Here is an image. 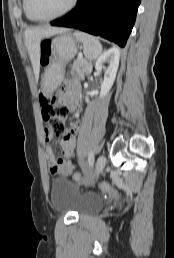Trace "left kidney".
Returning a JSON list of instances; mask_svg holds the SVG:
<instances>
[{"label":"left kidney","mask_w":174,"mask_h":258,"mask_svg":"<svg viewBox=\"0 0 174 258\" xmlns=\"http://www.w3.org/2000/svg\"><path fill=\"white\" fill-rule=\"evenodd\" d=\"M119 59H120V50L117 47H112L104 52L96 61L95 69L97 71L102 70L103 64L105 62L109 63L108 68L105 70L104 81L101 84L100 97H105L113 83L117 74V70L119 67ZM85 101L88 103V96L85 98Z\"/></svg>","instance_id":"1"}]
</instances>
